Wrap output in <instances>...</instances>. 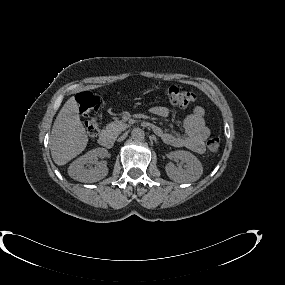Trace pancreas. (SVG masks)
<instances>
[{
  "mask_svg": "<svg viewBox=\"0 0 285 285\" xmlns=\"http://www.w3.org/2000/svg\"><path fill=\"white\" fill-rule=\"evenodd\" d=\"M126 125L119 120L113 121L106 127V131L114 134L120 133L122 130H124Z\"/></svg>",
  "mask_w": 285,
  "mask_h": 285,
  "instance_id": "obj_1",
  "label": "pancreas"
}]
</instances>
